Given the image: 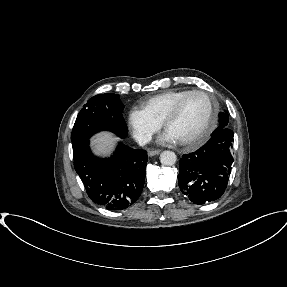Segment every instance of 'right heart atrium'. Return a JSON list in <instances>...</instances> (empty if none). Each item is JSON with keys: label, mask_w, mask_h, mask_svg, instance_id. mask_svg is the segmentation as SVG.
Here are the masks:
<instances>
[{"label": "right heart atrium", "mask_w": 287, "mask_h": 287, "mask_svg": "<svg viewBox=\"0 0 287 287\" xmlns=\"http://www.w3.org/2000/svg\"><path fill=\"white\" fill-rule=\"evenodd\" d=\"M127 122L132 135L141 144L149 143L161 127L160 123L152 120L139 108L130 110Z\"/></svg>", "instance_id": "d8ad5b80"}]
</instances>
